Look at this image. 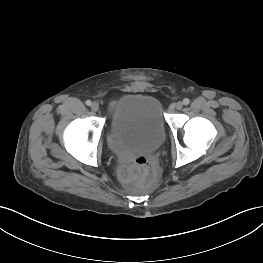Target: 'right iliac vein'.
I'll return each instance as SVG.
<instances>
[{
	"mask_svg": "<svg viewBox=\"0 0 263 263\" xmlns=\"http://www.w3.org/2000/svg\"><path fill=\"white\" fill-rule=\"evenodd\" d=\"M91 109L92 111L97 112L99 109V105L96 102H94L91 104Z\"/></svg>",
	"mask_w": 263,
	"mask_h": 263,
	"instance_id": "right-iliac-vein-1",
	"label": "right iliac vein"
}]
</instances>
